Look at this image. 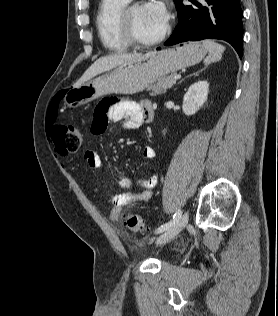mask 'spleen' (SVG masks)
Masks as SVG:
<instances>
[{
	"label": "spleen",
	"instance_id": "1",
	"mask_svg": "<svg viewBox=\"0 0 278 316\" xmlns=\"http://www.w3.org/2000/svg\"><path fill=\"white\" fill-rule=\"evenodd\" d=\"M202 44L209 51V55L204 59L205 65L221 60L224 46L212 40H204Z\"/></svg>",
	"mask_w": 278,
	"mask_h": 316
}]
</instances>
